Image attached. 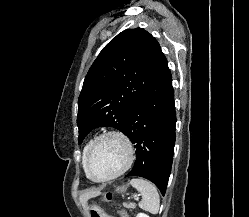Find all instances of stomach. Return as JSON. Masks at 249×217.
<instances>
[{
    "label": "stomach",
    "mask_w": 249,
    "mask_h": 217,
    "mask_svg": "<svg viewBox=\"0 0 249 217\" xmlns=\"http://www.w3.org/2000/svg\"><path fill=\"white\" fill-rule=\"evenodd\" d=\"M118 192H125L126 191V187L125 186H122V187H119L117 189Z\"/></svg>",
    "instance_id": "obj_1"
}]
</instances>
